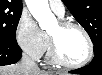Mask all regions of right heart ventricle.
<instances>
[{"instance_id":"right-heart-ventricle-1","label":"right heart ventricle","mask_w":102,"mask_h":75,"mask_svg":"<svg viewBox=\"0 0 102 75\" xmlns=\"http://www.w3.org/2000/svg\"><path fill=\"white\" fill-rule=\"evenodd\" d=\"M47 37V36H46ZM47 55L50 57V49H49V39L47 38V48H46Z\"/></svg>"}]
</instances>
